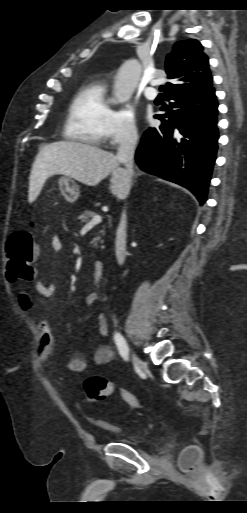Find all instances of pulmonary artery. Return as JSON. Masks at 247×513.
<instances>
[{
	"label": "pulmonary artery",
	"mask_w": 247,
	"mask_h": 513,
	"mask_svg": "<svg viewBox=\"0 0 247 513\" xmlns=\"http://www.w3.org/2000/svg\"><path fill=\"white\" fill-rule=\"evenodd\" d=\"M158 83H159L158 80H152L151 86H149L145 89L144 94L148 99L154 100L157 97V92H156L154 86L157 85Z\"/></svg>",
	"instance_id": "1"
}]
</instances>
